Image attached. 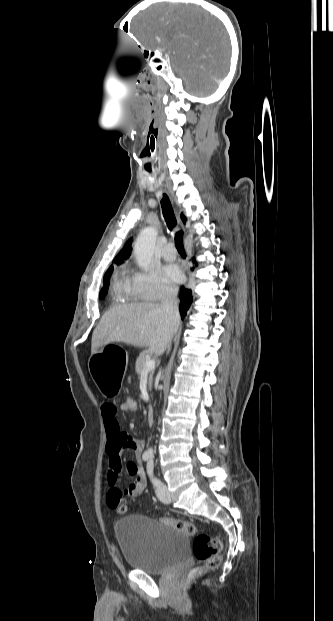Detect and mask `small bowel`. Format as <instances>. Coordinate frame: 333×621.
Wrapping results in <instances>:
<instances>
[{"label": "small bowel", "instance_id": "small-bowel-1", "mask_svg": "<svg viewBox=\"0 0 333 621\" xmlns=\"http://www.w3.org/2000/svg\"><path fill=\"white\" fill-rule=\"evenodd\" d=\"M101 414L107 435L106 451L109 456L107 505L115 509L119 503H123L126 499L140 495L146 487V476L140 465L144 441L121 431L117 420V407L114 404L103 403ZM124 449L131 450L137 462L128 461L123 466L120 453ZM123 472L132 481L127 487L120 488L118 481Z\"/></svg>", "mask_w": 333, "mask_h": 621}]
</instances>
